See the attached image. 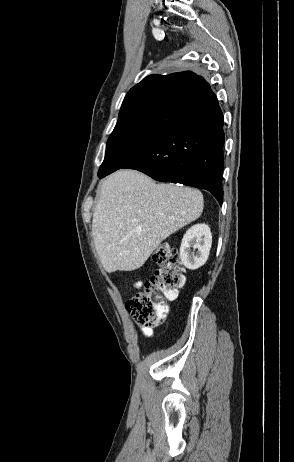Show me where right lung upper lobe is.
<instances>
[{
  "mask_svg": "<svg viewBox=\"0 0 294 462\" xmlns=\"http://www.w3.org/2000/svg\"><path fill=\"white\" fill-rule=\"evenodd\" d=\"M210 85L201 76L191 71L173 73L169 75L152 74L129 90L124 98L120 111L143 101L163 95L178 93L203 94Z\"/></svg>",
  "mask_w": 294,
  "mask_h": 462,
  "instance_id": "cb5924a9",
  "label": "right lung upper lobe"
}]
</instances>
